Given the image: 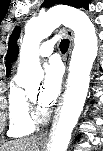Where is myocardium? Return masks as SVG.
Here are the masks:
<instances>
[{
    "label": "myocardium",
    "instance_id": "obj_1",
    "mask_svg": "<svg viewBox=\"0 0 103 151\" xmlns=\"http://www.w3.org/2000/svg\"><path fill=\"white\" fill-rule=\"evenodd\" d=\"M27 95H28V101L30 106V115L33 122L35 124H42L46 122L49 117V111L39 107L36 104L35 98L31 96L30 93H28Z\"/></svg>",
    "mask_w": 103,
    "mask_h": 151
}]
</instances>
